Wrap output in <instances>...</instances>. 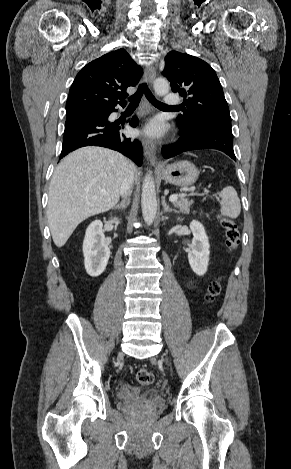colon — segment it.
<instances>
[{
  "instance_id": "obj_1",
  "label": "colon",
  "mask_w": 291,
  "mask_h": 469,
  "mask_svg": "<svg viewBox=\"0 0 291 469\" xmlns=\"http://www.w3.org/2000/svg\"><path fill=\"white\" fill-rule=\"evenodd\" d=\"M220 224L225 233V246L229 252H234L240 242V235L236 223L228 217L220 216ZM222 286L219 280L212 281L207 289L206 299L214 301L221 293ZM137 381L141 385H150L154 381V375L147 369H141L137 373Z\"/></svg>"
}]
</instances>
